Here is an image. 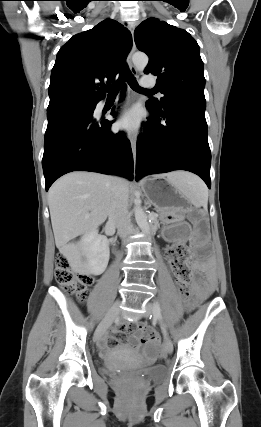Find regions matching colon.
<instances>
[{
    "mask_svg": "<svg viewBox=\"0 0 261 427\" xmlns=\"http://www.w3.org/2000/svg\"><path fill=\"white\" fill-rule=\"evenodd\" d=\"M188 253L185 244H174L166 252L179 291L184 299L189 296L188 286L192 280V274L187 264ZM55 279L66 292L76 295L82 301L88 297L89 288L94 281L92 276L75 271L69 259L63 254H58L56 258ZM139 332L143 342L155 338V334L143 324H141Z\"/></svg>",
    "mask_w": 261,
    "mask_h": 427,
    "instance_id": "1",
    "label": "colon"
}]
</instances>
